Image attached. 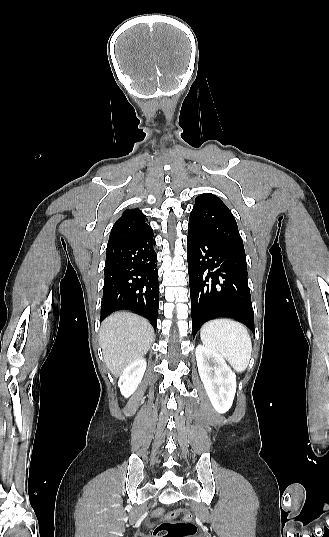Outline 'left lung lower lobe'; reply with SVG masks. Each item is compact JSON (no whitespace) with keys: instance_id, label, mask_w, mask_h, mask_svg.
<instances>
[{"instance_id":"0a47b994","label":"left lung lower lobe","mask_w":329,"mask_h":537,"mask_svg":"<svg viewBox=\"0 0 329 537\" xmlns=\"http://www.w3.org/2000/svg\"><path fill=\"white\" fill-rule=\"evenodd\" d=\"M187 261L193 337L217 317L234 318L255 333L245 254L188 225Z\"/></svg>"}]
</instances>
